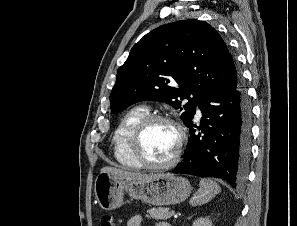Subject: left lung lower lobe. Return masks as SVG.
Segmentation results:
<instances>
[{"mask_svg":"<svg viewBox=\"0 0 297 226\" xmlns=\"http://www.w3.org/2000/svg\"><path fill=\"white\" fill-rule=\"evenodd\" d=\"M200 126H187L190 139L184 160L172 173L216 177L242 185L250 160L251 106L240 82L230 89L211 88L199 97ZM201 131L196 133V131Z\"/></svg>","mask_w":297,"mask_h":226,"instance_id":"0a47b994","label":"left lung lower lobe"}]
</instances>
